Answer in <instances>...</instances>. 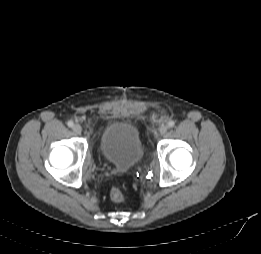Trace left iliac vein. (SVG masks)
I'll use <instances>...</instances> for the list:
<instances>
[{"label": "left iliac vein", "mask_w": 261, "mask_h": 254, "mask_svg": "<svg viewBox=\"0 0 261 254\" xmlns=\"http://www.w3.org/2000/svg\"><path fill=\"white\" fill-rule=\"evenodd\" d=\"M168 130V126L167 125H162L160 128H159V132H158V135H163L167 132Z\"/></svg>", "instance_id": "1"}]
</instances>
